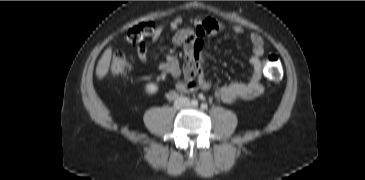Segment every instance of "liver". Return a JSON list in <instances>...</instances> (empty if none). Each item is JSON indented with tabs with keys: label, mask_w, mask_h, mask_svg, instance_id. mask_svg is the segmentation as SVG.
I'll return each mask as SVG.
<instances>
[{
	"label": "liver",
	"mask_w": 365,
	"mask_h": 180,
	"mask_svg": "<svg viewBox=\"0 0 365 180\" xmlns=\"http://www.w3.org/2000/svg\"><path fill=\"white\" fill-rule=\"evenodd\" d=\"M112 57V48L108 47L103 55L101 56L100 60L96 66V76L98 79H103L107 76L110 68V62Z\"/></svg>",
	"instance_id": "obj_1"
}]
</instances>
